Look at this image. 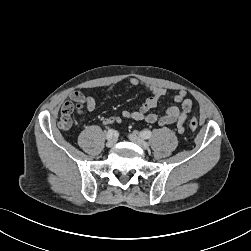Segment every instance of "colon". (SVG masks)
<instances>
[{
  "instance_id": "colon-1",
  "label": "colon",
  "mask_w": 251,
  "mask_h": 251,
  "mask_svg": "<svg viewBox=\"0 0 251 251\" xmlns=\"http://www.w3.org/2000/svg\"><path fill=\"white\" fill-rule=\"evenodd\" d=\"M76 108H80V105H77ZM75 106L73 103H66L61 110V116L59 121V126L62 129H69L72 125L71 114L73 113ZM189 127L191 130H196L198 127V121L196 118H191L189 121Z\"/></svg>"
}]
</instances>
